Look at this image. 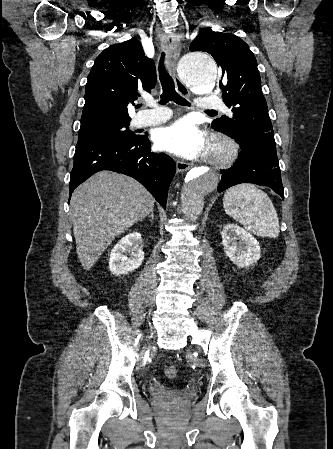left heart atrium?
Masks as SVG:
<instances>
[{"label": "left heart atrium", "instance_id": "1", "mask_svg": "<svg viewBox=\"0 0 333 449\" xmlns=\"http://www.w3.org/2000/svg\"><path fill=\"white\" fill-rule=\"evenodd\" d=\"M154 139L161 149L187 159L197 158L207 149L205 135L189 119L158 129Z\"/></svg>", "mask_w": 333, "mask_h": 449}]
</instances>
